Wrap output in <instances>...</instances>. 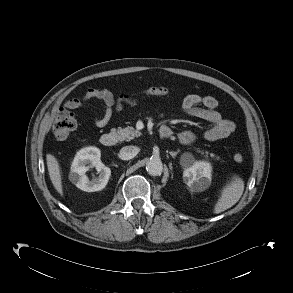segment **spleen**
I'll use <instances>...</instances> for the list:
<instances>
[{
    "label": "spleen",
    "instance_id": "3e777b00",
    "mask_svg": "<svg viewBox=\"0 0 293 293\" xmlns=\"http://www.w3.org/2000/svg\"><path fill=\"white\" fill-rule=\"evenodd\" d=\"M243 191L244 181L239 176H234L231 182L223 188L214 213H221L235 205L241 198Z\"/></svg>",
    "mask_w": 293,
    "mask_h": 293
}]
</instances>
